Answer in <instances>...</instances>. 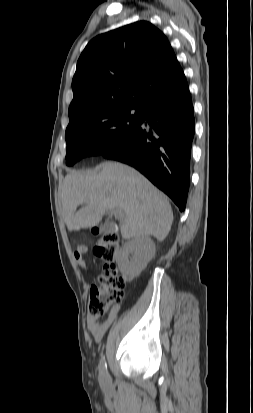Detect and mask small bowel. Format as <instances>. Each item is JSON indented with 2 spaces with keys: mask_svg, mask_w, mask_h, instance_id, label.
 <instances>
[{
  "mask_svg": "<svg viewBox=\"0 0 253 413\" xmlns=\"http://www.w3.org/2000/svg\"><path fill=\"white\" fill-rule=\"evenodd\" d=\"M88 252V246L81 244L74 252V259L77 264L83 269H87V264L85 262L84 256ZM120 310L119 305H114L110 310L106 318L101 319L100 317H93L88 315L87 317V327L95 341H100L104 334L107 332L109 327L112 325L116 319L118 312Z\"/></svg>",
  "mask_w": 253,
  "mask_h": 413,
  "instance_id": "obj_1",
  "label": "small bowel"
}]
</instances>
